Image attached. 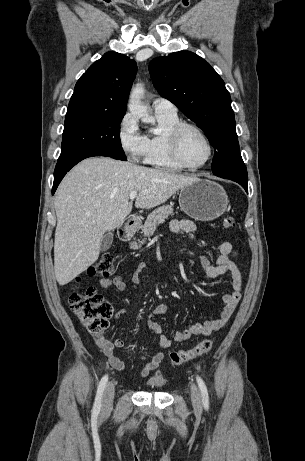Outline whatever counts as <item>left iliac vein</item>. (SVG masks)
Here are the masks:
<instances>
[{
	"instance_id": "4c4485c4",
	"label": "left iliac vein",
	"mask_w": 305,
	"mask_h": 461,
	"mask_svg": "<svg viewBox=\"0 0 305 461\" xmlns=\"http://www.w3.org/2000/svg\"><path fill=\"white\" fill-rule=\"evenodd\" d=\"M191 401L195 409H201V397L197 386L194 383H191L190 387Z\"/></svg>"
}]
</instances>
